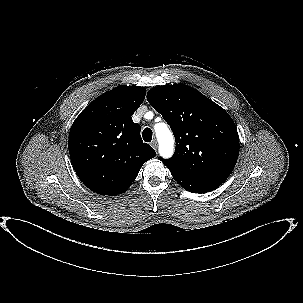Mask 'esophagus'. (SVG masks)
Returning a JSON list of instances; mask_svg holds the SVG:
<instances>
[{"label": "esophagus", "instance_id": "1", "mask_svg": "<svg viewBox=\"0 0 303 303\" xmlns=\"http://www.w3.org/2000/svg\"><path fill=\"white\" fill-rule=\"evenodd\" d=\"M151 146L156 150L157 147H158V143H157V140L154 139L152 142H151Z\"/></svg>", "mask_w": 303, "mask_h": 303}]
</instances>
